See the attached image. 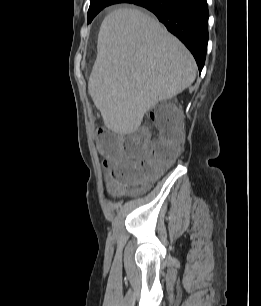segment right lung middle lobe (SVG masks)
Masks as SVG:
<instances>
[{
    "label": "right lung middle lobe",
    "mask_w": 261,
    "mask_h": 306,
    "mask_svg": "<svg viewBox=\"0 0 261 306\" xmlns=\"http://www.w3.org/2000/svg\"><path fill=\"white\" fill-rule=\"evenodd\" d=\"M123 2L124 1L108 0V1L90 3V7L88 10V23H90L93 20V18L105 7L112 4L123 3Z\"/></svg>",
    "instance_id": "obj_1"
}]
</instances>
